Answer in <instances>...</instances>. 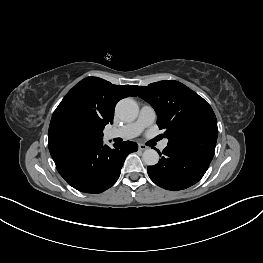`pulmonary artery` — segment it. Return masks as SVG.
<instances>
[{
  "instance_id": "1",
  "label": "pulmonary artery",
  "mask_w": 263,
  "mask_h": 263,
  "mask_svg": "<svg viewBox=\"0 0 263 263\" xmlns=\"http://www.w3.org/2000/svg\"><path fill=\"white\" fill-rule=\"evenodd\" d=\"M156 119V112L150 105H144L139 113L138 118L131 123H128L120 128H113L106 131V138H122L132 139L141 134L147 127L151 126ZM168 140L161 142L160 148L163 150L167 147Z\"/></svg>"
}]
</instances>
